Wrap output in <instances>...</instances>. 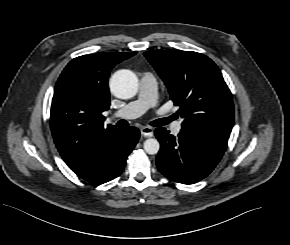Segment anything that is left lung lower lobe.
Wrapping results in <instances>:
<instances>
[{"label":"left lung lower lobe","mask_w":290,"mask_h":245,"mask_svg":"<svg viewBox=\"0 0 290 245\" xmlns=\"http://www.w3.org/2000/svg\"><path fill=\"white\" fill-rule=\"evenodd\" d=\"M155 135L161 144L158 170L183 184L196 183L210 174L227 148V143L193 130L181 129L175 137L165 128H157Z\"/></svg>","instance_id":"0a47b994"}]
</instances>
